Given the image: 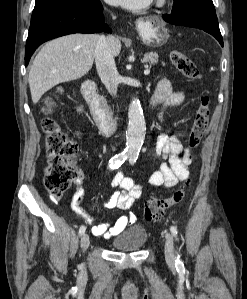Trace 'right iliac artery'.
<instances>
[{
    "label": "right iliac artery",
    "mask_w": 247,
    "mask_h": 299,
    "mask_svg": "<svg viewBox=\"0 0 247 299\" xmlns=\"http://www.w3.org/2000/svg\"><path fill=\"white\" fill-rule=\"evenodd\" d=\"M129 157V155L123 153H120L118 155H115L114 157H112L109 161L110 163V168L111 169H115L118 168L119 166H121L122 163H124V161ZM86 227L84 225H82L79 229V235H83L85 233Z\"/></svg>",
    "instance_id": "1"
}]
</instances>
